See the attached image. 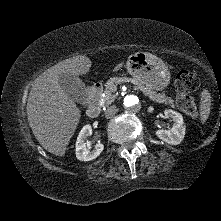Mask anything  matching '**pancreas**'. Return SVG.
Masks as SVG:
<instances>
[{"mask_svg":"<svg viewBox=\"0 0 221 221\" xmlns=\"http://www.w3.org/2000/svg\"><path fill=\"white\" fill-rule=\"evenodd\" d=\"M123 82H131L135 85V88L141 91L144 95L148 96L150 100L155 101L157 103H165L170 106H174V101L170 97L166 96L165 93H157L154 90L144 86L143 84L137 82L136 80L129 78V77H115L108 80L105 84L104 96L102 100L104 101V105L107 106L111 104L116 95L113 94L116 91V84L123 83Z\"/></svg>","mask_w":221,"mask_h":221,"instance_id":"1","label":"pancreas"}]
</instances>
